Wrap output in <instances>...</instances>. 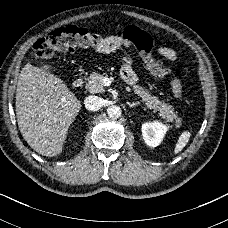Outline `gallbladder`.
<instances>
[{
	"mask_svg": "<svg viewBox=\"0 0 228 228\" xmlns=\"http://www.w3.org/2000/svg\"><path fill=\"white\" fill-rule=\"evenodd\" d=\"M43 67L45 68L46 71H49V72H55L57 70V67L49 64L43 65Z\"/></svg>",
	"mask_w": 228,
	"mask_h": 228,
	"instance_id": "obj_1",
	"label": "gallbladder"
}]
</instances>
